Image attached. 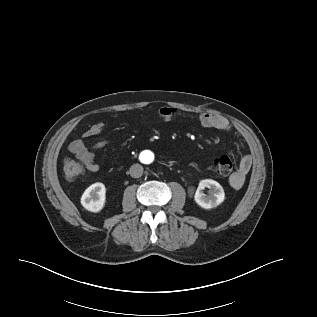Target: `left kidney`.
<instances>
[{
	"instance_id": "left-kidney-1",
	"label": "left kidney",
	"mask_w": 317,
	"mask_h": 317,
	"mask_svg": "<svg viewBox=\"0 0 317 317\" xmlns=\"http://www.w3.org/2000/svg\"><path fill=\"white\" fill-rule=\"evenodd\" d=\"M210 188L209 195H205L203 190ZM225 199L223 187L214 180L205 179L199 182L194 195L195 202L203 209H212L221 204Z\"/></svg>"
}]
</instances>
